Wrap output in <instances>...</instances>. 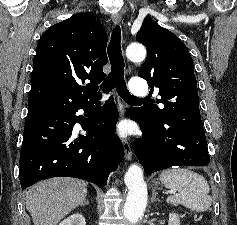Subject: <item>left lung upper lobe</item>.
<instances>
[{"mask_svg": "<svg viewBox=\"0 0 237 225\" xmlns=\"http://www.w3.org/2000/svg\"><path fill=\"white\" fill-rule=\"evenodd\" d=\"M137 41L145 45L147 58L138 76L147 80L149 87L159 89L163 104L140 107L143 116L158 123L198 106L197 81L194 75L192 57L183 42L169 30L152 20H145L136 34Z\"/></svg>", "mask_w": 237, "mask_h": 225, "instance_id": "obj_1", "label": "left lung upper lobe"}]
</instances>
